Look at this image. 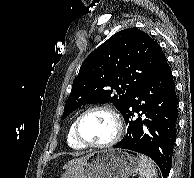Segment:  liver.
<instances>
[{
	"label": "liver",
	"instance_id": "1",
	"mask_svg": "<svg viewBox=\"0 0 194 178\" xmlns=\"http://www.w3.org/2000/svg\"><path fill=\"white\" fill-rule=\"evenodd\" d=\"M87 157V156H86ZM85 159V157H82V158H77V159H73L71 161H69L65 166L64 168H70L80 162H82L83 160Z\"/></svg>",
	"mask_w": 194,
	"mask_h": 178
}]
</instances>
